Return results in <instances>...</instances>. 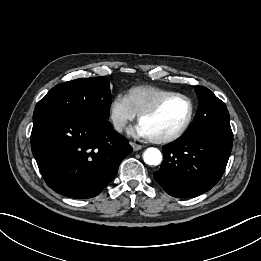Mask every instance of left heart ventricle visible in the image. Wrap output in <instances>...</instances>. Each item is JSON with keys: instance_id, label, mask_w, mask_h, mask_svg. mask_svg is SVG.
<instances>
[{"instance_id": "1", "label": "left heart ventricle", "mask_w": 261, "mask_h": 261, "mask_svg": "<svg viewBox=\"0 0 261 261\" xmlns=\"http://www.w3.org/2000/svg\"><path fill=\"white\" fill-rule=\"evenodd\" d=\"M189 112L188 103L171 98L154 114L142 118L141 124L151 137H162L175 132L184 123Z\"/></svg>"}]
</instances>
